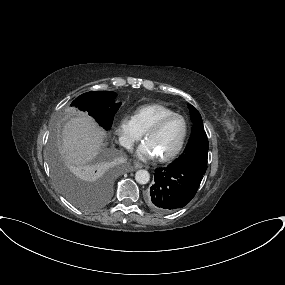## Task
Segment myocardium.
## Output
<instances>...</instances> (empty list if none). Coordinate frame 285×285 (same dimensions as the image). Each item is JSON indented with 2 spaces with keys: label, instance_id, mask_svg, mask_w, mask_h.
Returning <instances> with one entry per match:
<instances>
[{
  "label": "myocardium",
  "instance_id": "myocardium-1",
  "mask_svg": "<svg viewBox=\"0 0 285 285\" xmlns=\"http://www.w3.org/2000/svg\"><path fill=\"white\" fill-rule=\"evenodd\" d=\"M175 118H179L183 121L184 124V132H183V136L182 139L179 143V145L169 154L166 155H161V156H157V158L160 161H169L172 160L173 158H175L183 149L184 144L186 142L187 139V135H188V123L187 120L185 119L184 116L174 113L172 115L166 116L161 118L160 120H158L155 124H153L151 127H149L145 132H144V138L146 139L149 135L158 132L159 130H161L165 124H167L169 121H171L172 119Z\"/></svg>",
  "mask_w": 285,
  "mask_h": 285
}]
</instances>
